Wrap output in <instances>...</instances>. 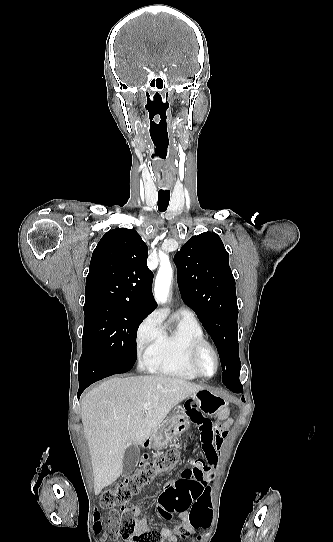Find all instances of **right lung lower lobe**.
I'll return each mask as SVG.
<instances>
[{
	"label": "right lung lower lobe",
	"mask_w": 333,
	"mask_h": 542,
	"mask_svg": "<svg viewBox=\"0 0 333 542\" xmlns=\"http://www.w3.org/2000/svg\"><path fill=\"white\" fill-rule=\"evenodd\" d=\"M129 371L118 363L112 362L101 354H97L93 360H81L78 366L79 390L78 398L81 393L92 383L101 380L105 377L117 373H125Z\"/></svg>",
	"instance_id": "1"
}]
</instances>
